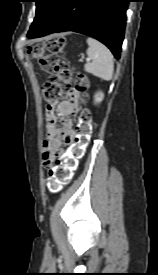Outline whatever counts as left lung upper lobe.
I'll use <instances>...</instances> for the list:
<instances>
[{"mask_svg":"<svg viewBox=\"0 0 158 275\" xmlns=\"http://www.w3.org/2000/svg\"><path fill=\"white\" fill-rule=\"evenodd\" d=\"M62 0H35L36 17L27 36L37 33L49 20L53 11Z\"/></svg>","mask_w":158,"mask_h":275,"instance_id":"obj_1","label":"left lung upper lobe"}]
</instances>
